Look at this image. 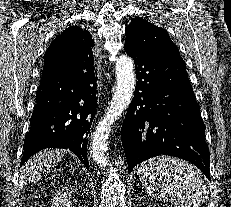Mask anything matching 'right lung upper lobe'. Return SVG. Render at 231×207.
Wrapping results in <instances>:
<instances>
[{
  "instance_id": "cb5924a9",
  "label": "right lung upper lobe",
  "mask_w": 231,
  "mask_h": 207,
  "mask_svg": "<svg viewBox=\"0 0 231 207\" xmlns=\"http://www.w3.org/2000/svg\"><path fill=\"white\" fill-rule=\"evenodd\" d=\"M93 44L94 40L88 31L77 26L69 27L48 47L44 55V67L57 66L66 71L84 68L77 64L93 56Z\"/></svg>"
}]
</instances>
